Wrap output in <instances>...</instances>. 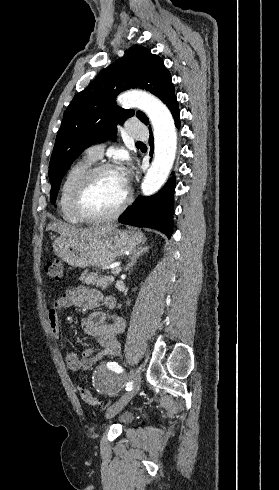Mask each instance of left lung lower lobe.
I'll return each mask as SVG.
<instances>
[{
  "label": "left lung lower lobe",
  "mask_w": 279,
  "mask_h": 490,
  "mask_svg": "<svg viewBox=\"0 0 279 490\" xmlns=\"http://www.w3.org/2000/svg\"><path fill=\"white\" fill-rule=\"evenodd\" d=\"M170 109L176 126L179 127V108L176 96L167 105ZM150 129V146L153 149V137ZM174 175V172H172ZM175 177H171L165 186L150 197L139 196L129 209L120 216L119 222L137 227H147L159 230L171 237L173 232Z\"/></svg>",
  "instance_id": "0a47b994"
}]
</instances>
